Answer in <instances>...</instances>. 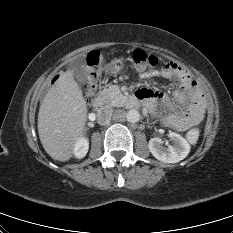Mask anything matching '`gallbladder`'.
Segmentation results:
<instances>
[{
	"label": "gallbladder",
	"mask_w": 233,
	"mask_h": 233,
	"mask_svg": "<svg viewBox=\"0 0 233 233\" xmlns=\"http://www.w3.org/2000/svg\"><path fill=\"white\" fill-rule=\"evenodd\" d=\"M71 70L76 80L84 84L87 82L88 70L86 68V58L84 55L78 56L71 64Z\"/></svg>",
	"instance_id": "obj_1"
}]
</instances>
